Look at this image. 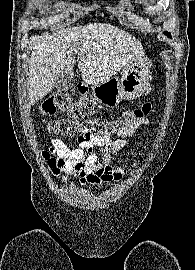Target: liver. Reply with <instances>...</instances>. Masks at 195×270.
<instances>
[{
	"instance_id": "liver-1",
	"label": "liver",
	"mask_w": 195,
	"mask_h": 270,
	"mask_svg": "<svg viewBox=\"0 0 195 270\" xmlns=\"http://www.w3.org/2000/svg\"><path fill=\"white\" fill-rule=\"evenodd\" d=\"M29 104L54 87L57 75L73 71L74 53L86 85L105 82L122 68L144 57L142 44L131 34L105 23L60 29L30 38Z\"/></svg>"
}]
</instances>
